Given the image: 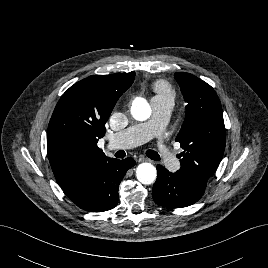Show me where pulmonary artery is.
I'll use <instances>...</instances> for the list:
<instances>
[{
  "label": "pulmonary artery",
  "mask_w": 268,
  "mask_h": 268,
  "mask_svg": "<svg viewBox=\"0 0 268 268\" xmlns=\"http://www.w3.org/2000/svg\"><path fill=\"white\" fill-rule=\"evenodd\" d=\"M150 104L153 113L152 119L148 122L132 125L123 132L112 134L109 137L111 149H129L149 140L161 131L169 120L172 104L155 97L151 99ZM156 152L164 158L167 166H173L177 163V159L164 141L161 140L157 143Z\"/></svg>",
  "instance_id": "e3ab8cb5"
}]
</instances>
